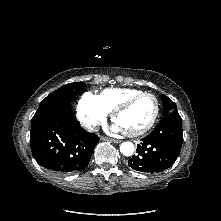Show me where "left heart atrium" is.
Here are the masks:
<instances>
[{"instance_id":"1","label":"left heart atrium","mask_w":221,"mask_h":221,"mask_svg":"<svg viewBox=\"0 0 221 221\" xmlns=\"http://www.w3.org/2000/svg\"><path fill=\"white\" fill-rule=\"evenodd\" d=\"M113 130L114 131H122L123 129L118 124H116L113 126Z\"/></svg>"}]
</instances>
